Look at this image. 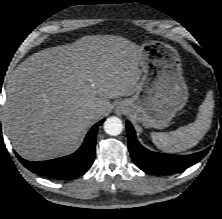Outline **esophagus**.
<instances>
[{"mask_svg":"<svg viewBox=\"0 0 222 219\" xmlns=\"http://www.w3.org/2000/svg\"><path fill=\"white\" fill-rule=\"evenodd\" d=\"M116 112H117V114H119V115H121V114L123 113V111L120 110V109H118Z\"/></svg>","mask_w":222,"mask_h":219,"instance_id":"1","label":"esophagus"}]
</instances>
